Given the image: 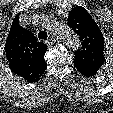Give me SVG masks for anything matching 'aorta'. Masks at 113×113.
I'll return each mask as SVG.
<instances>
[{"label": "aorta", "instance_id": "762f6f07", "mask_svg": "<svg viewBox=\"0 0 113 113\" xmlns=\"http://www.w3.org/2000/svg\"><path fill=\"white\" fill-rule=\"evenodd\" d=\"M51 30L66 48L76 50L80 47L78 35L66 24L52 20Z\"/></svg>", "mask_w": 113, "mask_h": 113}]
</instances>
